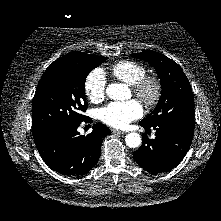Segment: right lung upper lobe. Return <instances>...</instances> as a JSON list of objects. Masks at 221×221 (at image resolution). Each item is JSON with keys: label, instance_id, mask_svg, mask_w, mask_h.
<instances>
[{"label": "right lung upper lobe", "instance_id": "right-lung-upper-lobe-1", "mask_svg": "<svg viewBox=\"0 0 221 221\" xmlns=\"http://www.w3.org/2000/svg\"><path fill=\"white\" fill-rule=\"evenodd\" d=\"M88 55H91V54H86V53L77 51V52H72L67 55H64L63 57H61L59 59H75V58H81L83 56H88Z\"/></svg>", "mask_w": 221, "mask_h": 221}]
</instances>
